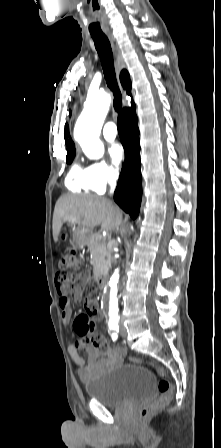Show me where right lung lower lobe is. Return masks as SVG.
<instances>
[{"label": "right lung lower lobe", "instance_id": "98d812e1", "mask_svg": "<svg viewBox=\"0 0 221 448\" xmlns=\"http://www.w3.org/2000/svg\"><path fill=\"white\" fill-rule=\"evenodd\" d=\"M124 108L118 116V132L125 150L118 185L114 193L115 202L132 218H136L141 204L142 178L140 162V143L135 105Z\"/></svg>", "mask_w": 221, "mask_h": 448}]
</instances>
